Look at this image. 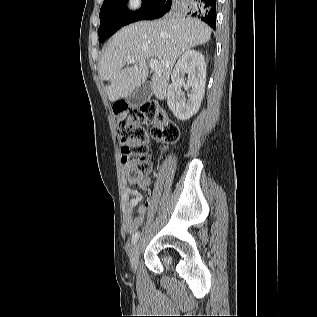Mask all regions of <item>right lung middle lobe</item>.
I'll use <instances>...</instances> for the list:
<instances>
[{
  "mask_svg": "<svg viewBox=\"0 0 317 317\" xmlns=\"http://www.w3.org/2000/svg\"><path fill=\"white\" fill-rule=\"evenodd\" d=\"M142 1V8L136 12H129L126 7L127 0H104L99 14V42H103L126 24L146 19L148 14L158 6L162 0ZM184 3L185 0H174L171 4L170 11L181 9Z\"/></svg>",
  "mask_w": 317,
  "mask_h": 317,
  "instance_id": "right-lung-middle-lobe-1",
  "label": "right lung middle lobe"
}]
</instances>
